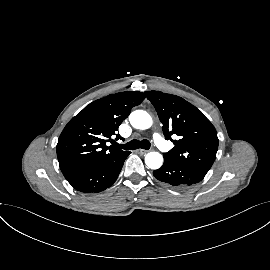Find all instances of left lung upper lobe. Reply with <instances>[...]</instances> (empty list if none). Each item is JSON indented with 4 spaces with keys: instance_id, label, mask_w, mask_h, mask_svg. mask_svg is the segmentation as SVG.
Masks as SVG:
<instances>
[{
    "instance_id": "obj_1",
    "label": "left lung upper lobe",
    "mask_w": 270,
    "mask_h": 270,
    "mask_svg": "<svg viewBox=\"0 0 270 270\" xmlns=\"http://www.w3.org/2000/svg\"><path fill=\"white\" fill-rule=\"evenodd\" d=\"M147 98L163 124L165 139L175 145L163 156L206 175L214 163L219 143L211 122L200 110L179 96L149 91ZM172 135H177L178 140H173Z\"/></svg>"
}]
</instances>
